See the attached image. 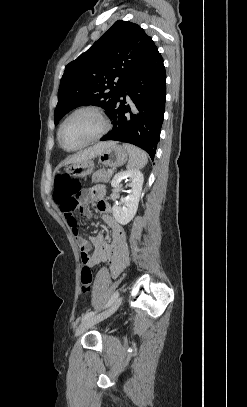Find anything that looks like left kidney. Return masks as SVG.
I'll list each match as a JSON object with an SVG mask.
<instances>
[{
    "mask_svg": "<svg viewBox=\"0 0 247 407\" xmlns=\"http://www.w3.org/2000/svg\"><path fill=\"white\" fill-rule=\"evenodd\" d=\"M127 178H129L131 181L128 185L130 187L128 196L121 199L122 206L114 205L112 208L113 216L115 217L116 221L122 225L128 224L134 218L138 209L139 199L144 182V177L141 171L135 169L116 174L111 181V186L113 188H117L119 187L120 182Z\"/></svg>",
    "mask_w": 247,
    "mask_h": 407,
    "instance_id": "1",
    "label": "left kidney"
}]
</instances>
